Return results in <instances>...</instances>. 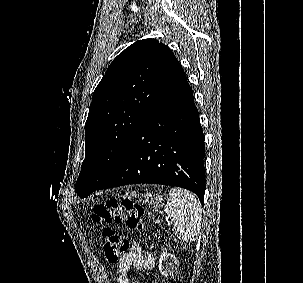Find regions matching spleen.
Listing matches in <instances>:
<instances>
[{
	"label": "spleen",
	"mask_w": 303,
	"mask_h": 283,
	"mask_svg": "<svg viewBox=\"0 0 303 283\" xmlns=\"http://www.w3.org/2000/svg\"><path fill=\"white\" fill-rule=\"evenodd\" d=\"M165 212L173 218L174 233L178 239L185 242L196 240L201 228L202 209L194 194L181 188H172Z\"/></svg>",
	"instance_id": "1"
}]
</instances>
